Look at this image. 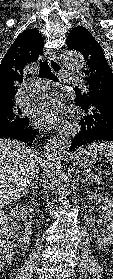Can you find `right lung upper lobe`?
Here are the masks:
<instances>
[{
    "label": "right lung upper lobe",
    "mask_w": 113,
    "mask_h": 279,
    "mask_svg": "<svg viewBox=\"0 0 113 279\" xmlns=\"http://www.w3.org/2000/svg\"><path fill=\"white\" fill-rule=\"evenodd\" d=\"M42 35L27 29L18 35L0 64V108L14 103L17 86L23 80L24 68L42 55Z\"/></svg>",
    "instance_id": "right-lung-upper-lobe-1"
}]
</instances>
